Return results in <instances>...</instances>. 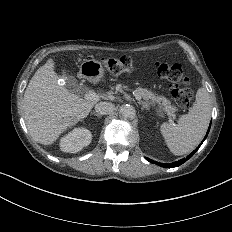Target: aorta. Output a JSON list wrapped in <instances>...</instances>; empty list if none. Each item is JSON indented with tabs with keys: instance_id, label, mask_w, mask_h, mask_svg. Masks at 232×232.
I'll use <instances>...</instances> for the list:
<instances>
[{
	"instance_id": "aorta-1",
	"label": "aorta",
	"mask_w": 232,
	"mask_h": 232,
	"mask_svg": "<svg viewBox=\"0 0 232 232\" xmlns=\"http://www.w3.org/2000/svg\"><path fill=\"white\" fill-rule=\"evenodd\" d=\"M120 112L125 119H133L136 115L135 108L130 104L122 105Z\"/></svg>"
}]
</instances>
